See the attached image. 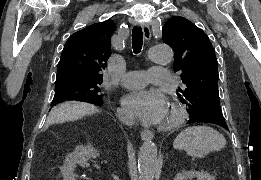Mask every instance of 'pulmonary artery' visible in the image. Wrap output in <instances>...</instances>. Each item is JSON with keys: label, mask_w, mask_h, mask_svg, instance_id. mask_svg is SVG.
Wrapping results in <instances>:
<instances>
[{"label": "pulmonary artery", "mask_w": 261, "mask_h": 180, "mask_svg": "<svg viewBox=\"0 0 261 180\" xmlns=\"http://www.w3.org/2000/svg\"><path fill=\"white\" fill-rule=\"evenodd\" d=\"M168 67H157L148 71H129L123 75L122 85L126 87L136 86L145 88V82L154 81L155 83H170V72Z\"/></svg>", "instance_id": "obj_1"}]
</instances>
